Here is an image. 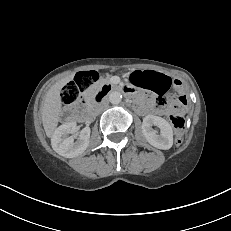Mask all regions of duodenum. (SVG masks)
I'll use <instances>...</instances> for the list:
<instances>
[{"label": "duodenum", "instance_id": "1", "mask_svg": "<svg viewBox=\"0 0 231 231\" xmlns=\"http://www.w3.org/2000/svg\"><path fill=\"white\" fill-rule=\"evenodd\" d=\"M113 90V86L109 85V84H104L100 91L93 97V105H98L103 98ZM125 94L127 95H131L132 92L127 88L124 90ZM143 106L142 103L138 104V108H141Z\"/></svg>", "mask_w": 231, "mask_h": 231}]
</instances>
